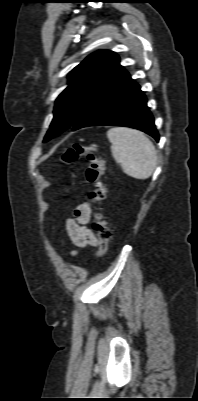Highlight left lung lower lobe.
I'll return each instance as SVG.
<instances>
[{
  "mask_svg": "<svg viewBox=\"0 0 198 401\" xmlns=\"http://www.w3.org/2000/svg\"><path fill=\"white\" fill-rule=\"evenodd\" d=\"M87 126L132 127L159 140L145 95L123 68L90 102L71 130Z\"/></svg>",
  "mask_w": 198,
  "mask_h": 401,
  "instance_id": "1",
  "label": "left lung lower lobe"
}]
</instances>
